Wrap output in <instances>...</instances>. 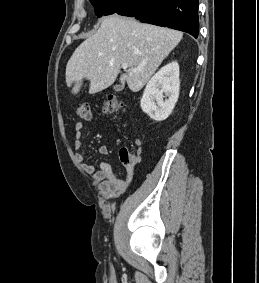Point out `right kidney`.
Returning <instances> with one entry per match:
<instances>
[{"instance_id":"1","label":"right kidney","mask_w":259,"mask_h":283,"mask_svg":"<svg viewBox=\"0 0 259 283\" xmlns=\"http://www.w3.org/2000/svg\"><path fill=\"white\" fill-rule=\"evenodd\" d=\"M179 87V65L173 61L162 67L147 83L141 98L142 110L155 121L165 120L178 100ZM163 94L168 97L165 101Z\"/></svg>"}]
</instances>
